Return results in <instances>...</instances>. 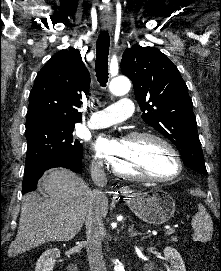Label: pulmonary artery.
<instances>
[{"label": "pulmonary artery", "instance_id": "obj_1", "mask_svg": "<svg viewBox=\"0 0 221 271\" xmlns=\"http://www.w3.org/2000/svg\"><path fill=\"white\" fill-rule=\"evenodd\" d=\"M106 111L89 112V121L83 124L92 128H105L114 126L115 122H132L134 107H130V98H120L119 102H115V107H107Z\"/></svg>", "mask_w": 221, "mask_h": 271}]
</instances>
